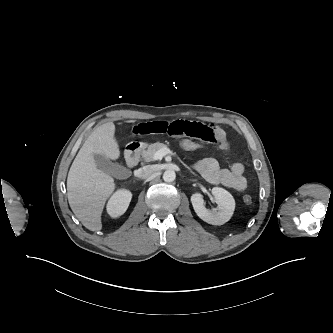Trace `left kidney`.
<instances>
[{"instance_id": "5707ae66", "label": "left kidney", "mask_w": 333, "mask_h": 333, "mask_svg": "<svg viewBox=\"0 0 333 333\" xmlns=\"http://www.w3.org/2000/svg\"><path fill=\"white\" fill-rule=\"evenodd\" d=\"M212 194L218 205L214 210L205 207L203 196L200 193L191 196V203L200 219L212 225H222L228 222L233 215L235 200L228 191L220 187L212 188Z\"/></svg>"}]
</instances>
